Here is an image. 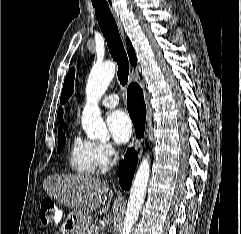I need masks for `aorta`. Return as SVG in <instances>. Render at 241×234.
Listing matches in <instances>:
<instances>
[{
  "label": "aorta",
  "instance_id": "762f6f07",
  "mask_svg": "<svg viewBox=\"0 0 241 234\" xmlns=\"http://www.w3.org/2000/svg\"><path fill=\"white\" fill-rule=\"evenodd\" d=\"M115 70L116 67L113 62H105L95 64L89 74L86 84V105L82 112L81 122L87 136L91 139L109 138V132L101 117L97 103L111 83ZM149 175L150 159L149 156H146L142 159L134 177L121 234H130L132 227L138 220L144 204Z\"/></svg>",
  "mask_w": 241,
  "mask_h": 234
}]
</instances>
